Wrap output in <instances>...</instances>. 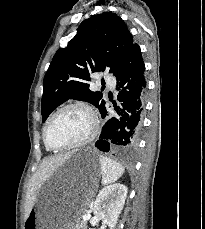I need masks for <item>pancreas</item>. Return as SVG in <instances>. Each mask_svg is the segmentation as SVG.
<instances>
[{"mask_svg": "<svg viewBox=\"0 0 205 229\" xmlns=\"http://www.w3.org/2000/svg\"><path fill=\"white\" fill-rule=\"evenodd\" d=\"M77 229H86V223L84 221H78L77 222V226H76Z\"/></svg>", "mask_w": 205, "mask_h": 229, "instance_id": "pancreas-1", "label": "pancreas"}]
</instances>
